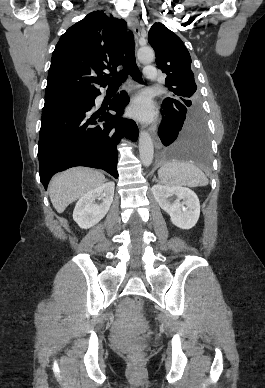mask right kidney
Here are the masks:
<instances>
[{"label":"right kidney","instance_id":"obj_1","mask_svg":"<svg viewBox=\"0 0 265 388\" xmlns=\"http://www.w3.org/2000/svg\"><path fill=\"white\" fill-rule=\"evenodd\" d=\"M114 190V182H106V184H102L99 188L83 194L74 208V222L83 230H88V228L98 224L110 210L114 198ZM97 198H102V204H96L95 200Z\"/></svg>","mask_w":265,"mask_h":388}]
</instances>
